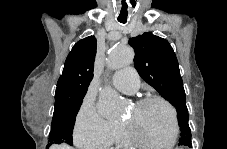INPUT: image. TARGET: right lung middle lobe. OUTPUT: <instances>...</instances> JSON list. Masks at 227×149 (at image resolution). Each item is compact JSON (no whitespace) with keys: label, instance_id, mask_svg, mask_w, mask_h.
<instances>
[{"label":"right lung middle lobe","instance_id":"obj_1","mask_svg":"<svg viewBox=\"0 0 227 149\" xmlns=\"http://www.w3.org/2000/svg\"><path fill=\"white\" fill-rule=\"evenodd\" d=\"M82 100L83 98L55 101L48 146L61 143L72 145V131Z\"/></svg>","mask_w":227,"mask_h":149}]
</instances>
